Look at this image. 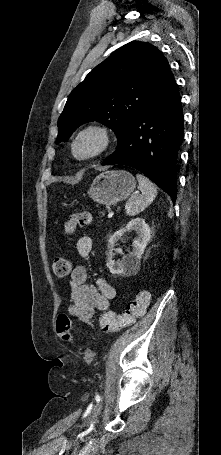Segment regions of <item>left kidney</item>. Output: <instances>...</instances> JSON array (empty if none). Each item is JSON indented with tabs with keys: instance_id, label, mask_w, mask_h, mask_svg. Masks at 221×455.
Segmentation results:
<instances>
[{
	"instance_id": "left-kidney-1",
	"label": "left kidney",
	"mask_w": 221,
	"mask_h": 455,
	"mask_svg": "<svg viewBox=\"0 0 221 455\" xmlns=\"http://www.w3.org/2000/svg\"><path fill=\"white\" fill-rule=\"evenodd\" d=\"M131 230H135L138 235L133 242V251L128 255H124L121 260H113V257L115 255L113 251L119 254H123L122 249H114L115 244L126 232H129ZM150 238L151 230L143 218H135L131 220L124 228L116 231L108 240L109 250L107 253V267L109 268L110 272L112 274L119 275L134 270L138 266L141 256Z\"/></svg>"
}]
</instances>
